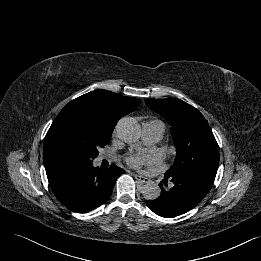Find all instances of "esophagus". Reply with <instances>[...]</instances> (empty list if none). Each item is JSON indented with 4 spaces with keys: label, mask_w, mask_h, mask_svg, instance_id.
<instances>
[{
    "label": "esophagus",
    "mask_w": 261,
    "mask_h": 261,
    "mask_svg": "<svg viewBox=\"0 0 261 261\" xmlns=\"http://www.w3.org/2000/svg\"><path fill=\"white\" fill-rule=\"evenodd\" d=\"M134 177L140 183H148V182H150L149 178L141 176V175H138V174H135Z\"/></svg>",
    "instance_id": "34e87169"
}]
</instances>
